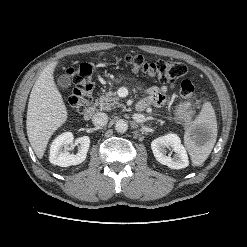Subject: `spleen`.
Returning <instances> with one entry per match:
<instances>
[{
	"label": "spleen",
	"mask_w": 247,
	"mask_h": 247,
	"mask_svg": "<svg viewBox=\"0 0 247 247\" xmlns=\"http://www.w3.org/2000/svg\"><path fill=\"white\" fill-rule=\"evenodd\" d=\"M194 125L204 128L209 136L207 140L201 144H197L191 138V131H187L184 137L187 150L195 166L201 165L210 155L217 138V120L215 111L210 102H205L201 112L194 121Z\"/></svg>",
	"instance_id": "3e777b00"
}]
</instances>
